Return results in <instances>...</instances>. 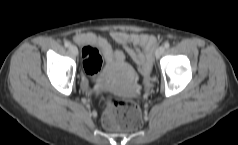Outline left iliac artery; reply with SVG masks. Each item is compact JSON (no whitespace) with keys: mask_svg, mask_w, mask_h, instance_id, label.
<instances>
[{"mask_svg":"<svg viewBox=\"0 0 238 145\" xmlns=\"http://www.w3.org/2000/svg\"><path fill=\"white\" fill-rule=\"evenodd\" d=\"M164 46H165L166 49H168V48L170 47V43H169V42H166V43L164 44Z\"/></svg>","mask_w":238,"mask_h":145,"instance_id":"1","label":"left iliac artery"}]
</instances>
